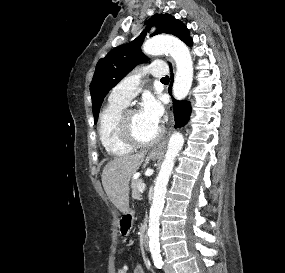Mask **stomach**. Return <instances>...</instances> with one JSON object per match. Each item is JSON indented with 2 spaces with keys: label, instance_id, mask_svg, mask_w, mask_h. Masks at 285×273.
Returning a JSON list of instances; mask_svg holds the SVG:
<instances>
[{
  "label": "stomach",
  "instance_id": "0dacf381",
  "mask_svg": "<svg viewBox=\"0 0 285 273\" xmlns=\"http://www.w3.org/2000/svg\"><path fill=\"white\" fill-rule=\"evenodd\" d=\"M149 159L155 160L158 158L157 154L150 153L148 156ZM134 219V212L132 210H129L128 213H126L123 218L121 219V224L119 226L120 233L124 236H127L132 229V222ZM130 222L129 228H126V223Z\"/></svg>",
  "mask_w": 285,
  "mask_h": 273
}]
</instances>
